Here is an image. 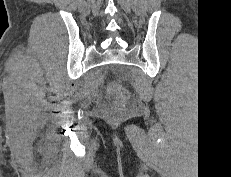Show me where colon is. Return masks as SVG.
Listing matches in <instances>:
<instances>
[{"instance_id": "1", "label": "colon", "mask_w": 231, "mask_h": 177, "mask_svg": "<svg viewBox=\"0 0 231 177\" xmlns=\"http://www.w3.org/2000/svg\"><path fill=\"white\" fill-rule=\"evenodd\" d=\"M108 92L111 96L120 102L125 101L129 96L127 89L117 82L111 83L109 85Z\"/></svg>"}]
</instances>
